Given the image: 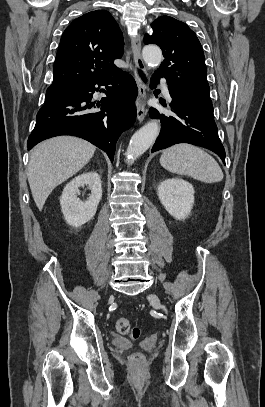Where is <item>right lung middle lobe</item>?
<instances>
[{"mask_svg":"<svg viewBox=\"0 0 265 407\" xmlns=\"http://www.w3.org/2000/svg\"><path fill=\"white\" fill-rule=\"evenodd\" d=\"M77 86L75 85H52L46 91L45 102L64 97L73 92Z\"/></svg>","mask_w":265,"mask_h":407,"instance_id":"right-lung-middle-lobe-1","label":"right lung middle lobe"}]
</instances>
